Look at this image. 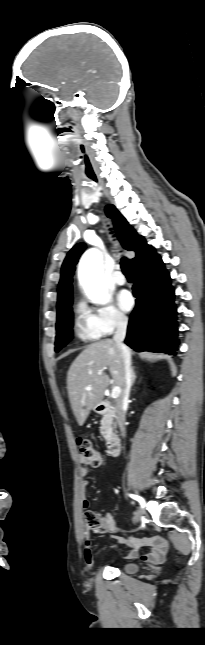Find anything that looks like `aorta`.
I'll use <instances>...</instances> for the list:
<instances>
[{
	"instance_id": "obj_1",
	"label": "aorta",
	"mask_w": 205,
	"mask_h": 645,
	"mask_svg": "<svg viewBox=\"0 0 205 645\" xmlns=\"http://www.w3.org/2000/svg\"><path fill=\"white\" fill-rule=\"evenodd\" d=\"M78 277L89 299L97 304L109 302L107 287L103 280L102 260L95 248L84 253L80 262Z\"/></svg>"
}]
</instances>
